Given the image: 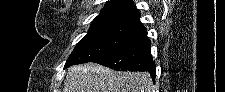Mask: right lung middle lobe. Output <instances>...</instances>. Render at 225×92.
Returning a JSON list of instances; mask_svg holds the SVG:
<instances>
[{
	"instance_id": "obj_1",
	"label": "right lung middle lobe",
	"mask_w": 225,
	"mask_h": 92,
	"mask_svg": "<svg viewBox=\"0 0 225 92\" xmlns=\"http://www.w3.org/2000/svg\"><path fill=\"white\" fill-rule=\"evenodd\" d=\"M145 35V32L130 26L103 23L91 24L89 31L75 46L65 68L90 62L96 57L127 45Z\"/></svg>"
}]
</instances>
